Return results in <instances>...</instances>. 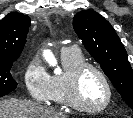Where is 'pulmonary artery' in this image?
Masks as SVG:
<instances>
[{
	"label": "pulmonary artery",
	"instance_id": "pulmonary-artery-1",
	"mask_svg": "<svg viewBox=\"0 0 133 118\" xmlns=\"http://www.w3.org/2000/svg\"><path fill=\"white\" fill-rule=\"evenodd\" d=\"M78 49L75 46H69V47H63L62 53L68 52V51H77Z\"/></svg>",
	"mask_w": 133,
	"mask_h": 118
}]
</instances>
